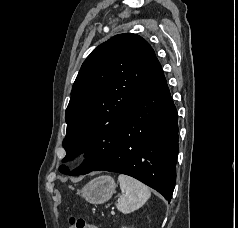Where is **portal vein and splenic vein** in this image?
I'll list each match as a JSON object with an SVG mask.
<instances>
[{
	"label": "portal vein and splenic vein",
	"instance_id": "18ae733b",
	"mask_svg": "<svg viewBox=\"0 0 238 228\" xmlns=\"http://www.w3.org/2000/svg\"><path fill=\"white\" fill-rule=\"evenodd\" d=\"M111 213H112V214H115V212H114V211H112Z\"/></svg>",
	"mask_w": 238,
	"mask_h": 228
}]
</instances>
